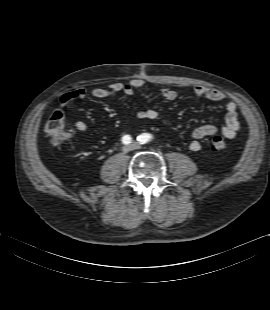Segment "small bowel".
<instances>
[{
	"instance_id": "1",
	"label": "small bowel",
	"mask_w": 270,
	"mask_h": 310,
	"mask_svg": "<svg viewBox=\"0 0 270 310\" xmlns=\"http://www.w3.org/2000/svg\"><path fill=\"white\" fill-rule=\"evenodd\" d=\"M144 87L145 82L142 79H133L128 84L114 82L108 85V87H95L90 91L83 87H79L62 94L59 102L61 107H65L72 101L84 99L88 94L97 99L112 97L120 93L126 95L127 97L133 98L135 96V91ZM193 92L197 98L204 97L215 102H221L226 98L223 92L202 85L195 86ZM155 95L168 101H173L177 98V93L170 89L158 90L155 92ZM225 111V125L220 131L226 138L232 139L237 135L240 129V123L238 120V106L234 101H228L225 104ZM137 117L140 120H156L158 118V112L153 108H149L139 111L137 113ZM74 128L77 131L85 132L88 130V125L84 121L79 120L74 122ZM218 132V127L211 124H206L195 128L191 135L189 149L192 151H199L201 149L200 140L215 135Z\"/></svg>"
}]
</instances>
